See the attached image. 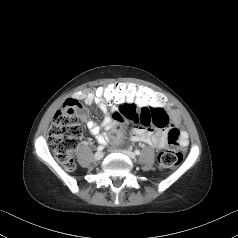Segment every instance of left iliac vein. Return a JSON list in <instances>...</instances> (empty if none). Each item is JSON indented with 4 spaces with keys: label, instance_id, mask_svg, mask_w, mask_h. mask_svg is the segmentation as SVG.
Listing matches in <instances>:
<instances>
[{
    "label": "left iliac vein",
    "instance_id": "1",
    "mask_svg": "<svg viewBox=\"0 0 238 238\" xmlns=\"http://www.w3.org/2000/svg\"><path fill=\"white\" fill-rule=\"evenodd\" d=\"M122 153H124L126 156H128L130 159H135V154L132 151L129 150H121Z\"/></svg>",
    "mask_w": 238,
    "mask_h": 238
}]
</instances>
